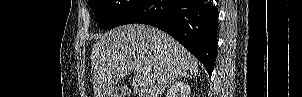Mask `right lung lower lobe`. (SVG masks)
<instances>
[{"label":"right lung lower lobe","instance_id":"right-lung-lower-lobe-1","mask_svg":"<svg viewBox=\"0 0 302 97\" xmlns=\"http://www.w3.org/2000/svg\"><path fill=\"white\" fill-rule=\"evenodd\" d=\"M219 0H143L121 23L155 26L188 49L211 76L217 55Z\"/></svg>","mask_w":302,"mask_h":97}]
</instances>
